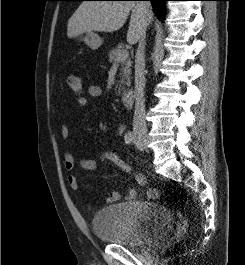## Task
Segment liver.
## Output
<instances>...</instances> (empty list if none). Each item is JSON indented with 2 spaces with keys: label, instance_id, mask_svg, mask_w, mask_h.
Here are the masks:
<instances>
[{
  "label": "liver",
  "instance_id": "1",
  "mask_svg": "<svg viewBox=\"0 0 245 265\" xmlns=\"http://www.w3.org/2000/svg\"><path fill=\"white\" fill-rule=\"evenodd\" d=\"M130 11L127 42L135 44L144 26L138 3L132 1H84L68 21L67 36L73 38L93 31L112 33L123 27Z\"/></svg>",
  "mask_w": 245,
  "mask_h": 265
}]
</instances>
